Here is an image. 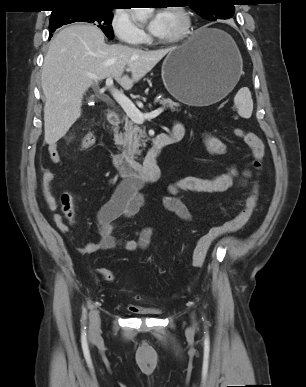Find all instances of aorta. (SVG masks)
I'll return each mask as SVG.
<instances>
[{
    "label": "aorta",
    "instance_id": "aorta-1",
    "mask_svg": "<svg viewBox=\"0 0 306 387\" xmlns=\"http://www.w3.org/2000/svg\"><path fill=\"white\" fill-rule=\"evenodd\" d=\"M152 11V8H132V17L135 20L143 21L148 18Z\"/></svg>",
    "mask_w": 306,
    "mask_h": 387
}]
</instances>
